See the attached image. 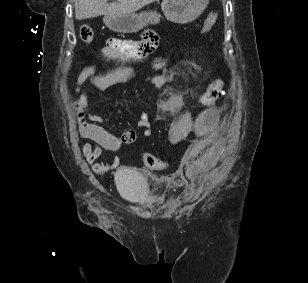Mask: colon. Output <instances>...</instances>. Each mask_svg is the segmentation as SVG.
<instances>
[{
	"label": "colon",
	"mask_w": 308,
	"mask_h": 283,
	"mask_svg": "<svg viewBox=\"0 0 308 283\" xmlns=\"http://www.w3.org/2000/svg\"><path fill=\"white\" fill-rule=\"evenodd\" d=\"M218 19V15L216 13H211L204 21L202 26V32L208 33L215 26ZM79 35L83 42L90 43L93 40L94 32L91 26L87 24H83L79 29ZM163 62L161 60H157L155 62V66L157 68L162 67ZM223 92V82L220 79L212 82L204 91L201 96L200 103L203 106H210L214 104L222 95ZM143 161L146 166L152 169H163L166 167V163L151 153H145L143 155Z\"/></svg>",
	"instance_id": "5ec220e1"
}]
</instances>
